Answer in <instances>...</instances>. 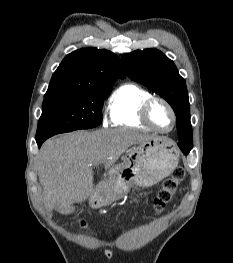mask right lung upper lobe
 <instances>
[{
	"label": "right lung upper lobe",
	"instance_id": "obj_1",
	"mask_svg": "<svg viewBox=\"0 0 233 263\" xmlns=\"http://www.w3.org/2000/svg\"><path fill=\"white\" fill-rule=\"evenodd\" d=\"M124 78L120 59L106 49L86 48L68 54L54 72L45 95L97 91Z\"/></svg>",
	"mask_w": 233,
	"mask_h": 263
}]
</instances>
